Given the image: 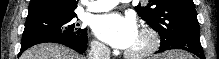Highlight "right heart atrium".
<instances>
[{"label": "right heart atrium", "mask_w": 219, "mask_h": 59, "mask_svg": "<svg viewBox=\"0 0 219 59\" xmlns=\"http://www.w3.org/2000/svg\"><path fill=\"white\" fill-rule=\"evenodd\" d=\"M92 49L97 56H103L106 53V47L99 41L95 40L92 43Z\"/></svg>", "instance_id": "1"}]
</instances>
